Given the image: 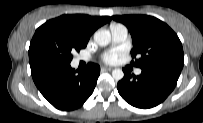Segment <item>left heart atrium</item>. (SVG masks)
I'll list each match as a JSON object with an SVG mask.
<instances>
[{
	"mask_svg": "<svg viewBox=\"0 0 203 123\" xmlns=\"http://www.w3.org/2000/svg\"><path fill=\"white\" fill-rule=\"evenodd\" d=\"M118 52H109L104 56V61L107 63H114L118 59Z\"/></svg>",
	"mask_w": 203,
	"mask_h": 123,
	"instance_id": "left-heart-atrium-1",
	"label": "left heart atrium"
}]
</instances>
